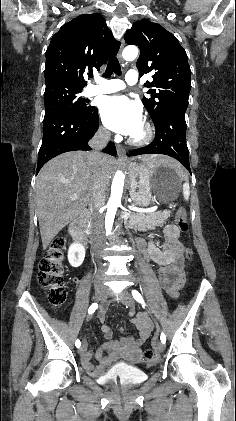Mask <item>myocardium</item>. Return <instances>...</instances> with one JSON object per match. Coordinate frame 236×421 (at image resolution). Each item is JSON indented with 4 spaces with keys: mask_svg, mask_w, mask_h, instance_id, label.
<instances>
[{
    "mask_svg": "<svg viewBox=\"0 0 236 421\" xmlns=\"http://www.w3.org/2000/svg\"><path fill=\"white\" fill-rule=\"evenodd\" d=\"M154 137V129L150 123L144 122L143 123V132L139 136H131L129 138V142L136 146H143L149 144Z\"/></svg>",
    "mask_w": 236,
    "mask_h": 421,
    "instance_id": "myocardium-1",
    "label": "myocardium"
}]
</instances>
